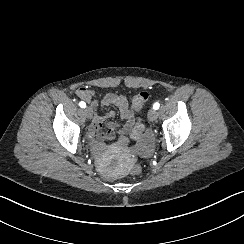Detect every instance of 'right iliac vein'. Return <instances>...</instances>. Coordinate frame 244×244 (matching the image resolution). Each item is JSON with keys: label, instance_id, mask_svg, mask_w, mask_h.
Wrapping results in <instances>:
<instances>
[{"label": "right iliac vein", "instance_id": "63e3f726", "mask_svg": "<svg viewBox=\"0 0 244 244\" xmlns=\"http://www.w3.org/2000/svg\"><path fill=\"white\" fill-rule=\"evenodd\" d=\"M83 113L85 116H87V118L91 119L93 117V110L92 108L90 107H86L84 110H83Z\"/></svg>", "mask_w": 244, "mask_h": 244}]
</instances>
